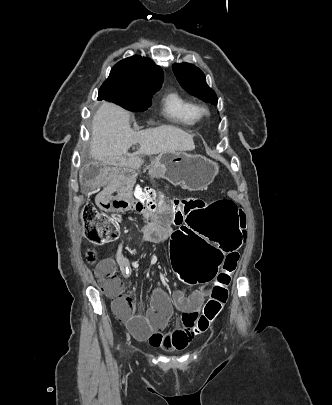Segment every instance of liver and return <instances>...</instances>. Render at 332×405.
<instances>
[{
	"label": "liver",
	"mask_w": 332,
	"mask_h": 405,
	"mask_svg": "<svg viewBox=\"0 0 332 405\" xmlns=\"http://www.w3.org/2000/svg\"><path fill=\"white\" fill-rule=\"evenodd\" d=\"M130 113L109 102H103L92 118L90 155L108 165L126 162L124 156L133 159L137 155H154L165 152L191 151L195 149L193 136L180 128L162 125L157 128L134 132L130 128ZM140 148L129 154L136 144Z\"/></svg>",
	"instance_id": "obj_1"
}]
</instances>
